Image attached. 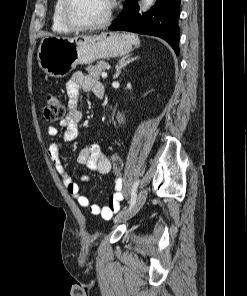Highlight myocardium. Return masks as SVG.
Masks as SVG:
<instances>
[{
  "label": "myocardium",
  "instance_id": "obj_1",
  "mask_svg": "<svg viewBox=\"0 0 247 296\" xmlns=\"http://www.w3.org/2000/svg\"><path fill=\"white\" fill-rule=\"evenodd\" d=\"M76 0H64L62 6V19L67 27H69L73 31H92L102 29L108 26L112 20L113 9L110 6L109 12L107 16L100 22L95 24H82L78 22L74 15L73 9L75 6Z\"/></svg>",
  "mask_w": 247,
  "mask_h": 296
}]
</instances>
